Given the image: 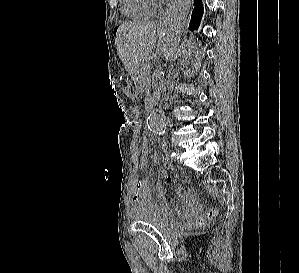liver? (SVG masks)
<instances>
[{"label":"liver","instance_id":"6515ba94","mask_svg":"<svg viewBox=\"0 0 299 273\" xmlns=\"http://www.w3.org/2000/svg\"><path fill=\"white\" fill-rule=\"evenodd\" d=\"M156 39L155 21H134L119 26L115 45L132 79L139 74V67L155 47Z\"/></svg>","mask_w":299,"mask_h":273}]
</instances>
